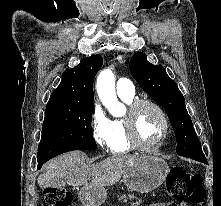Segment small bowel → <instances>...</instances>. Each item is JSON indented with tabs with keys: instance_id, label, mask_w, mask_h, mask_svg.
Returning a JSON list of instances; mask_svg holds the SVG:
<instances>
[{
	"instance_id": "1",
	"label": "small bowel",
	"mask_w": 221,
	"mask_h": 206,
	"mask_svg": "<svg viewBox=\"0 0 221 206\" xmlns=\"http://www.w3.org/2000/svg\"><path fill=\"white\" fill-rule=\"evenodd\" d=\"M150 206H185L184 204H176V203H156Z\"/></svg>"
}]
</instances>
